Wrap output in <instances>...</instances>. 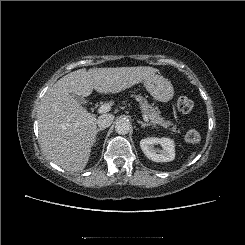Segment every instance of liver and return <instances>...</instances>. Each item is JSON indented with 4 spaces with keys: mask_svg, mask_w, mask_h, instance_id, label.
Segmentation results:
<instances>
[{
    "mask_svg": "<svg viewBox=\"0 0 245 245\" xmlns=\"http://www.w3.org/2000/svg\"><path fill=\"white\" fill-rule=\"evenodd\" d=\"M158 72L149 66L79 69L60 78L42 99L38 113L42 150L67 171H82L88 163L97 130V118L72 94L87 97L119 93Z\"/></svg>",
    "mask_w": 245,
    "mask_h": 245,
    "instance_id": "obj_1",
    "label": "liver"
}]
</instances>
